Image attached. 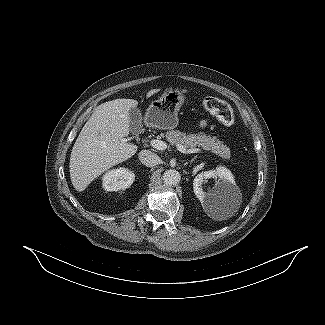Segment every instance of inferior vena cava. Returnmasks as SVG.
Instances as JSON below:
<instances>
[{
	"mask_svg": "<svg viewBox=\"0 0 325 325\" xmlns=\"http://www.w3.org/2000/svg\"><path fill=\"white\" fill-rule=\"evenodd\" d=\"M139 160L147 167H153L159 163L160 158L158 155L149 150H142L139 153Z\"/></svg>",
	"mask_w": 325,
	"mask_h": 325,
	"instance_id": "inferior-vena-cava-1",
	"label": "inferior vena cava"
}]
</instances>
